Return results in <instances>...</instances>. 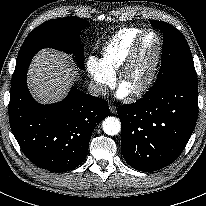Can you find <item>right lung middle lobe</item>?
Returning a JSON list of instances; mask_svg holds the SVG:
<instances>
[{"label":"right lung middle lobe","mask_w":206,"mask_h":206,"mask_svg":"<svg viewBox=\"0 0 206 206\" xmlns=\"http://www.w3.org/2000/svg\"><path fill=\"white\" fill-rule=\"evenodd\" d=\"M90 24L80 18L66 17L49 20L35 28L24 41L17 57L12 83L18 82L26 73L33 56L41 48L51 47L75 54V60L83 67V46L79 34Z\"/></svg>","instance_id":"dd1d6c3e"}]
</instances>
